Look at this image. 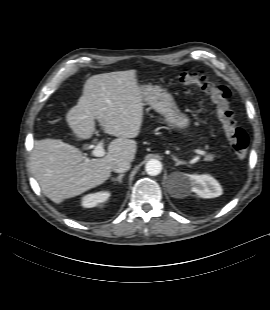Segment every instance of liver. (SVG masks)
<instances>
[{
	"label": "liver",
	"mask_w": 270,
	"mask_h": 310,
	"mask_svg": "<svg viewBox=\"0 0 270 310\" xmlns=\"http://www.w3.org/2000/svg\"><path fill=\"white\" fill-rule=\"evenodd\" d=\"M143 92L136 70L116 71L90 77L66 121L78 140L92 137L95 119L105 133L118 138L102 158H87L81 150L60 139L36 140L31 168L42 192L56 204L103 184L117 160L132 162L137 151L133 138L143 122Z\"/></svg>",
	"instance_id": "obj_1"
}]
</instances>
